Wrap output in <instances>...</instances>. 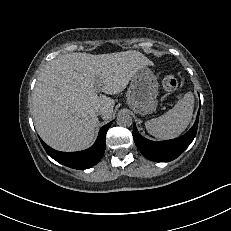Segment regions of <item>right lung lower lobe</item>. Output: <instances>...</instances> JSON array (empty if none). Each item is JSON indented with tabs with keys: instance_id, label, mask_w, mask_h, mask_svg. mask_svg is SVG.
Returning <instances> with one entry per match:
<instances>
[{
	"instance_id": "right-lung-lower-lobe-1",
	"label": "right lung lower lobe",
	"mask_w": 231,
	"mask_h": 231,
	"mask_svg": "<svg viewBox=\"0 0 231 231\" xmlns=\"http://www.w3.org/2000/svg\"><path fill=\"white\" fill-rule=\"evenodd\" d=\"M112 122L103 126L94 145L87 150L79 152H59L47 146L41 139V143L47 154L57 162L78 170H84L96 165L102 158L105 151V136Z\"/></svg>"
}]
</instances>
